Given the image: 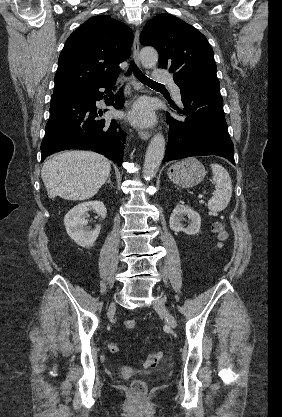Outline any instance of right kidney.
<instances>
[{
	"label": "right kidney",
	"instance_id": "right-kidney-1",
	"mask_svg": "<svg viewBox=\"0 0 282 417\" xmlns=\"http://www.w3.org/2000/svg\"><path fill=\"white\" fill-rule=\"evenodd\" d=\"M87 211H96L97 215H100L102 219H105L107 215V209L104 202L101 200H88V202H80L73 206V209L68 211L64 217L65 229L70 237L80 247H93L101 229V225H96V229L90 231L87 225L84 213Z\"/></svg>",
	"mask_w": 282,
	"mask_h": 417
}]
</instances>
